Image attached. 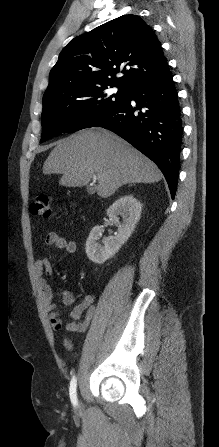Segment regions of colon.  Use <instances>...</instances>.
Returning a JSON list of instances; mask_svg holds the SVG:
<instances>
[{"mask_svg":"<svg viewBox=\"0 0 219 447\" xmlns=\"http://www.w3.org/2000/svg\"><path fill=\"white\" fill-rule=\"evenodd\" d=\"M30 210L34 216L49 218L53 215L51 206V198L46 195L38 196L30 206Z\"/></svg>","mask_w":219,"mask_h":447,"instance_id":"obj_1","label":"colon"}]
</instances>
